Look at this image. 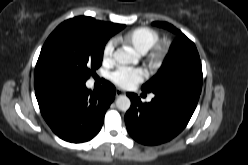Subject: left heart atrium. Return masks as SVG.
<instances>
[{"instance_id": "1", "label": "left heart atrium", "mask_w": 248, "mask_h": 165, "mask_svg": "<svg viewBox=\"0 0 248 165\" xmlns=\"http://www.w3.org/2000/svg\"><path fill=\"white\" fill-rule=\"evenodd\" d=\"M146 77V71L142 68H119L111 75V80L119 87L131 89L141 83Z\"/></svg>"}]
</instances>
